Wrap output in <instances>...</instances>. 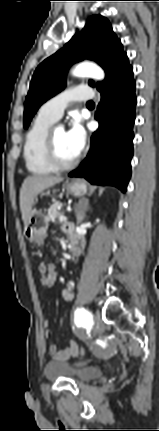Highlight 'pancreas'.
I'll list each match as a JSON object with an SVG mask.
<instances>
[{
	"mask_svg": "<svg viewBox=\"0 0 159 431\" xmlns=\"http://www.w3.org/2000/svg\"><path fill=\"white\" fill-rule=\"evenodd\" d=\"M61 206H62V203L55 202L49 207L47 217H46L47 221L55 222L56 218L62 215V213L59 210Z\"/></svg>",
	"mask_w": 159,
	"mask_h": 431,
	"instance_id": "obj_1",
	"label": "pancreas"
}]
</instances>
